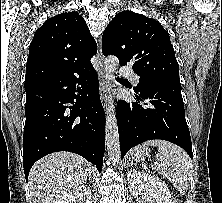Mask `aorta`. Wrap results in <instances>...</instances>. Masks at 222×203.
Returning a JSON list of instances; mask_svg holds the SVG:
<instances>
[{
  "mask_svg": "<svg viewBox=\"0 0 222 203\" xmlns=\"http://www.w3.org/2000/svg\"><path fill=\"white\" fill-rule=\"evenodd\" d=\"M118 65H119V60L116 56L110 55L105 59L104 76L106 79V91L108 93L106 95L107 107H106L105 137H106L108 156L113 165L116 164L118 165L120 163V157H121L115 106L113 102V97L110 92L112 80L114 78V73L116 72Z\"/></svg>",
  "mask_w": 222,
  "mask_h": 203,
  "instance_id": "1",
  "label": "aorta"
}]
</instances>
